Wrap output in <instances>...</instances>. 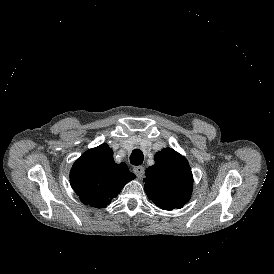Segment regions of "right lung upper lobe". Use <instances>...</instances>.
<instances>
[{"label":"right lung upper lobe","mask_w":274,"mask_h":274,"mask_svg":"<svg viewBox=\"0 0 274 274\" xmlns=\"http://www.w3.org/2000/svg\"><path fill=\"white\" fill-rule=\"evenodd\" d=\"M125 163L116 164L107 144L86 151L73 165L70 183L80 200L104 208L135 178Z\"/></svg>","instance_id":"cb5924a9"}]
</instances>
